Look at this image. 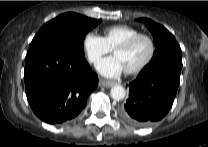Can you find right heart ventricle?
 I'll list each match as a JSON object with an SVG mask.
<instances>
[{"mask_svg": "<svg viewBox=\"0 0 208 147\" xmlns=\"http://www.w3.org/2000/svg\"><path fill=\"white\" fill-rule=\"evenodd\" d=\"M140 31L128 25H115L107 27L104 30V36L107 45L110 49H114L117 45L125 40L139 34Z\"/></svg>", "mask_w": 208, "mask_h": 147, "instance_id": "obj_1", "label": "right heart ventricle"}]
</instances>
